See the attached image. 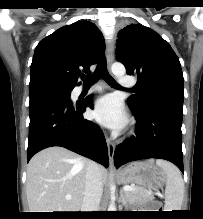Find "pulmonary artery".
Returning a JSON list of instances; mask_svg holds the SVG:
<instances>
[{
	"instance_id": "pulmonary-artery-1",
	"label": "pulmonary artery",
	"mask_w": 203,
	"mask_h": 219,
	"mask_svg": "<svg viewBox=\"0 0 203 219\" xmlns=\"http://www.w3.org/2000/svg\"><path fill=\"white\" fill-rule=\"evenodd\" d=\"M135 84V81L132 77L130 76H123L120 78V85L124 88H130V87H133ZM100 88L99 87H93V88H90L87 92L88 93H92V92H96V91H99ZM79 92H83L82 89L79 90Z\"/></svg>"
}]
</instances>
